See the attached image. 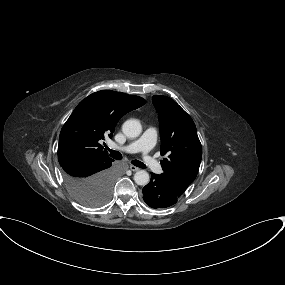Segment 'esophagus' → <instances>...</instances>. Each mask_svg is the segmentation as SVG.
Listing matches in <instances>:
<instances>
[{
  "mask_svg": "<svg viewBox=\"0 0 285 285\" xmlns=\"http://www.w3.org/2000/svg\"><path fill=\"white\" fill-rule=\"evenodd\" d=\"M130 169L131 171H134V172L139 170V168L134 165H130Z\"/></svg>",
  "mask_w": 285,
  "mask_h": 285,
  "instance_id": "esophagus-1",
  "label": "esophagus"
}]
</instances>
